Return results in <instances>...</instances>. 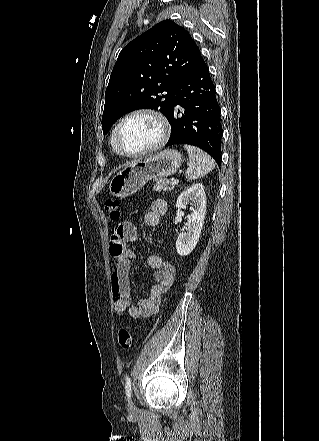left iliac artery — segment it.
Here are the masks:
<instances>
[{"instance_id":"44dca946","label":"left iliac artery","mask_w":319,"mask_h":441,"mask_svg":"<svg viewBox=\"0 0 319 441\" xmlns=\"http://www.w3.org/2000/svg\"><path fill=\"white\" fill-rule=\"evenodd\" d=\"M125 391H126V396L128 398V400L131 397V379L129 377L126 378V382H125Z\"/></svg>"}]
</instances>
